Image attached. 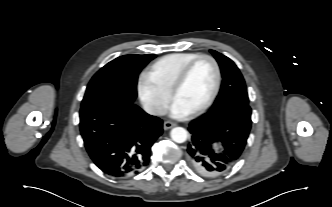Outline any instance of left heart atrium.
I'll list each match as a JSON object with an SVG mask.
<instances>
[{"instance_id":"39dd6f15","label":"left heart atrium","mask_w":332,"mask_h":207,"mask_svg":"<svg viewBox=\"0 0 332 207\" xmlns=\"http://www.w3.org/2000/svg\"><path fill=\"white\" fill-rule=\"evenodd\" d=\"M170 113L175 118H183L186 117L190 112L174 101L171 105Z\"/></svg>"}]
</instances>
